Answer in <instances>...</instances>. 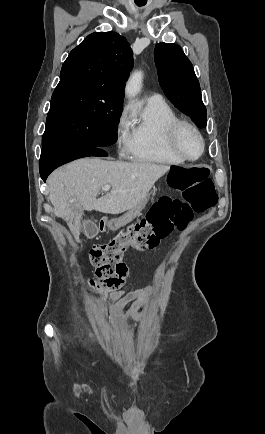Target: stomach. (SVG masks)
<instances>
[{
    "mask_svg": "<svg viewBox=\"0 0 265 434\" xmlns=\"http://www.w3.org/2000/svg\"><path fill=\"white\" fill-rule=\"evenodd\" d=\"M149 198L150 194H147V196H145V198H143V200H141L139 204H136V206H134V208H131V210H129L127 214H124L121 220H118V222H110V224L108 225V230L114 231L117 229V226H121V224H127V222H132V220H134L136 216H139L141 210L145 208V204H147Z\"/></svg>",
    "mask_w": 265,
    "mask_h": 434,
    "instance_id": "1",
    "label": "stomach"
}]
</instances>
